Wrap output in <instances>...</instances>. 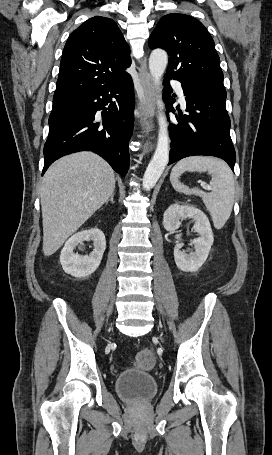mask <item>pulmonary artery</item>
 I'll return each mask as SVG.
<instances>
[{"instance_id":"obj_1","label":"pulmonary artery","mask_w":272,"mask_h":455,"mask_svg":"<svg viewBox=\"0 0 272 455\" xmlns=\"http://www.w3.org/2000/svg\"><path fill=\"white\" fill-rule=\"evenodd\" d=\"M171 83L174 86V88H175L176 92L178 93L179 97L181 98V100H184L183 89H182L180 82H178L176 80H171Z\"/></svg>"}]
</instances>
